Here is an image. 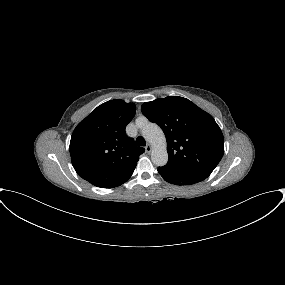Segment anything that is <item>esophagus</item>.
Segmentation results:
<instances>
[{"label":"esophagus","mask_w":285,"mask_h":285,"mask_svg":"<svg viewBox=\"0 0 285 285\" xmlns=\"http://www.w3.org/2000/svg\"><path fill=\"white\" fill-rule=\"evenodd\" d=\"M151 150H152V146H151L150 144H148V145L145 147V151H146L147 153H150Z\"/></svg>","instance_id":"esophagus-1"}]
</instances>
